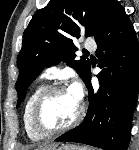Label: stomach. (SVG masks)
<instances>
[{
	"instance_id": "0dacf381",
	"label": "stomach",
	"mask_w": 139,
	"mask_h": 150,
	"mask_svg": "<svg viewBox=\"0 0 139 150\" xmlns=\"http://www.w3.org/2000/svg\"><path fill=\"white\" fill-rule=\"evenodd\" d=\"M53 150H90V149L87 147L66 144L60 146L58 149H53Z\"/></svg>"
}]
</instances>
